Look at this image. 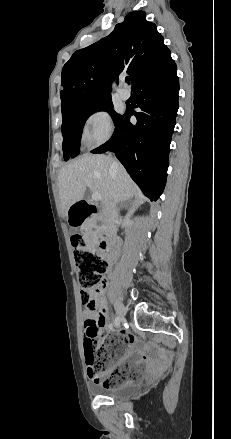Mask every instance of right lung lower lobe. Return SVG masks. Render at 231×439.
I'll use <instances>...</instances> for the list:
<instances>
[{
    "mask_svg": "<svg viewBox=\"0 0 231 439\" xmlns=\"http://www.w3.org/2000/svg\"><path fill=\"white\" fill-rule=\"evenodd\" d=\"M132 90L141 111L127 107L115 123L112 138L92 153L114 151L144 194L156 201L166 183L178 110L179 82L171 56L157 70L137 81ZM132 115L137 119L135 125L130 122Z\"/></svg>",
    "mask_w": 231,
    "mask_h": 439,
    "instance_id": "98d812e1",
    "label": "right lung lower lobe"
}]
</instances>
